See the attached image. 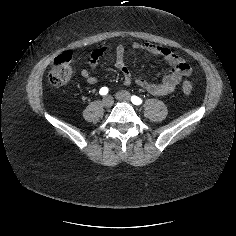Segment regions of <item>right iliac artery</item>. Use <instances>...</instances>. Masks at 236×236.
Segmentation results:
<instances>
[{"instance_id": "obj_1", "label": "right iliac artery", "mask_w": 236, "mask_h": 236, "mask_svg": "<svg viewBox=\"0 0 236 236\" xmlns=\"http://www.w3.org/2000/svg\"><path fill=\"white\" fill-rule=\"evenodd\" d=\"M108 88L107 87H102L99 91L100 95H106L108 93Z\"/></svg>"}]
</instances>
